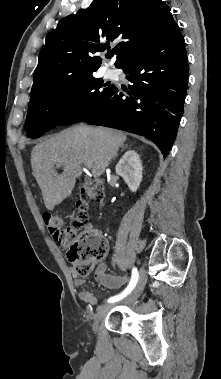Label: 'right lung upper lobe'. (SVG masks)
Instances as JSON below:
<instances>
[{"label": "right lung upper lobe", "instance_id": "obj_1", "mask_svg": "<svg viewBox=\"0 0 221 379\" xmlns=\"http://www.w3.org/2000/svg\"><path fill=\"white\" fill-rule=\"evenodd\" d=\"M176 24L162 0H94L86 10L63 18L46 37L34 72L31 99L50 84L98 70L99 52L113 51L118 66Z\"/></svg>", "mask_w": 221, "mask_h": 379}]
</instances>
